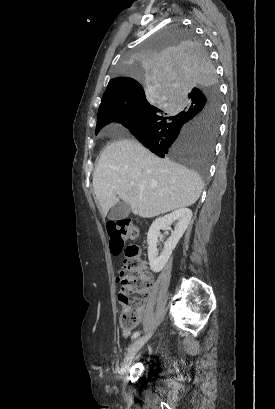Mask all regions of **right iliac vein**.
Here are the masks:
<instances>
[{"label":"right iliac vein","instance_id":"obj_1","mask_svg":"<svg viewBox=\"0 0 275 409\" xmlns=\"http://www.w3.org/2000/svg\"><path fill=\"white\" fill-rule=\"evenodd\" d=\"M150 334H147L143 337L135 340L129 347L127 354L122 362L121 371L125 372L126 369L131 365L132 360L134 359L137 352L143 347V345L149 340Z\"/></svg>","mask_w":275,"mask_h":409}]
</instances>
